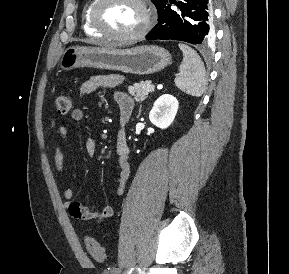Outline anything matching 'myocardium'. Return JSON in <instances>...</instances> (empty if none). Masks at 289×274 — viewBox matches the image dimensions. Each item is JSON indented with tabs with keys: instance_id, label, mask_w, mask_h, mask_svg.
Here are the masks:
<instances>
[{
	"instance_id": "1",
	"label": "myocardium",
	"mask_w": 289,
	"mask_h": 274,
	"mask_svg": "<svg viewBox=\"0 0 289 274\" xmlns=\"http://www.w3.org/2000/svg\"><path fill=\"white\" fill-rule=\"evenodd\" d=\"M111 1L112 0H95V3L93 4L91 8V13H90V20H91L92 26L103 36L112 40H116V41L128 42V41H135L144 37L151 26V14L145 1L133 0L135 3H137L141 7L143 14H144V21L139 30L130 34H118V33L112 32L108 30L102 24L100 20V11L104 5H106L107 3Z\"/></svg>"
}]
</instances>
